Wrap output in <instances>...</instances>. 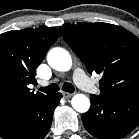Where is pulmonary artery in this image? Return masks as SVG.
Listing matches in <instances>:
<instances>
[{"mask_svg": "<svg viewBox=\"0 0 139 139\" xmlns=\"http://www.w3.org/2000/svg\"><path fill=\"white\" fill-rule=\"evenodd\" d=\"M74 81L76 84L83 90L87 92H96L97 88L95 85L90 81L87 75L84 73L82 69H76L74 72Z\"/></svg>", "mask_w": 139, "mask_h": 139, "instance_id": "e3ab8cb5", "label": "pulmonary artery"}]
</instances>
